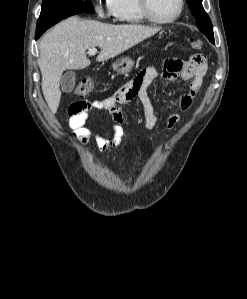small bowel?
Segmentation results:
<instances>
[{
  "label": "small bowel",
  "mask_w": 247,
  "mask_h": 299,
  "mask_svg": "<svg viewBox=\"0 0 247 299\" xmlns=\"http://www.w3.org/2000/svg\"><path fill=\"white\" fill-rule=\"evenodd\" d=\"M205 72V57L203 55H194L188 61L175 58L168 59L160 76L167 81H175L180 78L183 81L190 82L188 92L180 95L177 100L179 108L185 111L190 108L198 94ZM158 75L159 73L155 68H146L109 98L94 101L82 100L72 103L68 108V123L74 137L82 144L94 139L97 147L104 152L120 149L123 141L122 124L124 121L120 105L127 104L135 98H138L142 104L146 128L155 129L159 119L153 111L148 90ZM96 110H104L110 115L112 121L111 139L105 138L87 126L89 115ZM178 119L177 112H170L167 118L168 128H174Z\"/></svg>",
  "instance_id": "1"
}]
</instances>
